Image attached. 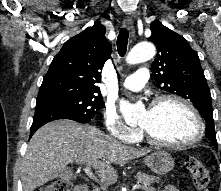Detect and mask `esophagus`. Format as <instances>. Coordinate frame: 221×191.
I'll list each match as a JSON object with an SVG mask.
<instances>
[{
    "label": "esophagus",
    "mask_w": 221,
    "mask_h": 191,
    "mask_svg": "<svg viewBox=\"0 0 221 191\" xmlns=\"http://www.w3.org/2000/svg\"><path fill=\"white\" fill-rule=\"evenodd\" d=\"M123 27L127 30H129L132 34L134 33V23L132 18L125 17L123 20Z\"/></svg>",
    "instance_id": "esophagus-1"
}]
</instances>
